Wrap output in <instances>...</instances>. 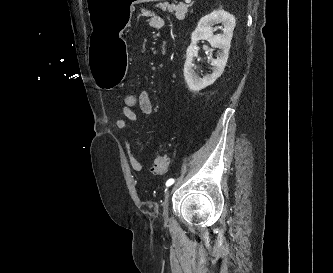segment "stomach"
Returning <instances> with one entry per match:
<instances>
[{
  "label": "stomach",
  "mask_w": 333,
  "mask_h": 273,
  "mask_svg": "<svg viewBox=\"0 0 333 273\" xmlns=\"http://www.w3.org/2000/svg\"><path fill=\"white\" fill-rule=\"evenodd\" d=\"M161 0H87L93 28L87 44L91 71L100 88L113 89L124 81L129 69L127 44L122 33L128 28L135 4Z\"/></svg>",
  "instance_id": "0dacf381"
}]
</instances>
